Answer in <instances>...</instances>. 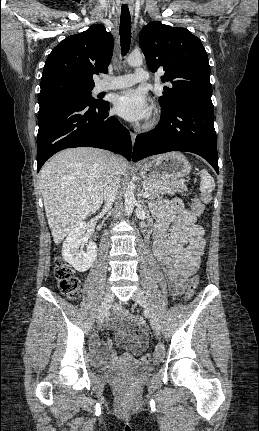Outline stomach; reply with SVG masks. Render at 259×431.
Listing matches in <instances>:
<instances>
[{"label": "stomach", "instance_id": "0dacf381", "mask_svg": "<svg viewBox=\"0 0 259 431\" xmlns=\"http://www.w3.org/2000/svg\"><path fill=\"white\" fill-rule=\"evenodd\" d=\"M191 171L188 159L180 152H170L154 157L140 166V174L145 180H175L187 176Z\"/></svg>", "mask_w": 259, "mask_h": 431}]
</instances>
